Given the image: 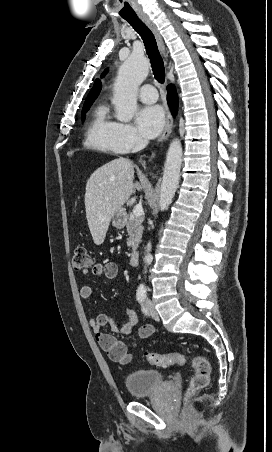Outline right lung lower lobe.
Segmentation results:
<instances>
[{"instance_id": "obj_1", "label": "right lung lower lobe", "mask_w": 272, "mask_h": 452, "mask_svg": "<svg viewBox=\"0 0 272 452\" xmlns=\"http://www.w3.org/2000/svg\"><path fill=\"white\" fill-rule=\"evenodd\" d=\"M167 90H168L167 100H168L169 106H170L172 112L175 113L176 109H177V105H178V97H177L175 88L173 85H170V86H168Z\"/></svg>"}]
</instances>
